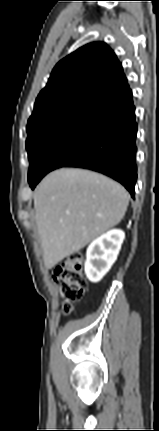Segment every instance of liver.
Instances as JSON below:
<instances>
[{
    "mask_svg": "<svg viewBox=\"0 0 159 431\" xmlns=\"http://www.w3.org/2000/svg\"><path fill=\"white\" fill-rule=\"evenodd\" d=\"M33 198L47 269L119 224L128 206V193L119 183L72 168L48 174Z\"/></svg>",
    "mask_w": 159,
    "mask_h": 431,
    "instance_id": "1",
    "label": "liver"
}]
</instances>
